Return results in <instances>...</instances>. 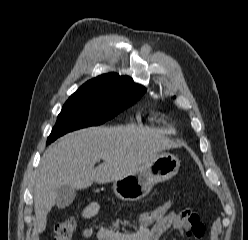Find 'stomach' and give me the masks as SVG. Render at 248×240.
<instances>
[{
	"instance_id": "0dacf381",
	"label": "stomach",
	"mask_w": 248,
	"mask_h": 240,
	"mask_svg": "<svg viewBox=\"0 0 248 240\" xmlns=\"http://www.w3.org/2000/svg\"><path fill=\"white\" fill-rule=\"evenodd\" d=\"M180 160L170 153L157 154L132 173L113 182L115 196L123 201H138L147 196L153 186L177 174Z\"/></svg>"
}]
</instances>
